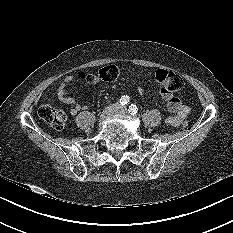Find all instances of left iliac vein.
Segmentation results:
<instances>
[{
    "label": "left iliac vein",
    "instance_id": "obj_1",
    "mask_svg": "<svg viewBox=\"0 0 233 233\" xmlns=\"http://www.w3.org/2000/svg\"><path fill=\"white\" fill-rule=\"evenodd\" d=\"M127 112L126 107L120 108L119 110L116 111L117 114L125 115Z\"/></svg>",
    "mask_w": 233,
    "mask_h": 233
}]
</instances>
